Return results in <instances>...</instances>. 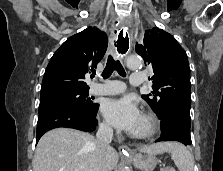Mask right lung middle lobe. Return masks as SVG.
I'll list each match as a JSON object with an SVG mask.
<instances>
[{"instance_id":"1","label":"right lung middle lobe","mask_w":223,"mask_h":171,"mask_svg":"<svg viewBox=\"0 0 223 171\" xmlns=\"http://www.w3.org/2000/svg\"><path fill=\"white\" fill-rule=\"evenodd\" d=\"M88 97V90L83 91H70L50 95L40 98L39 112L53 107L69 105L81 108L88 112H94L98 108L97 103H93Z\"/></svg>"}]
</instances>
